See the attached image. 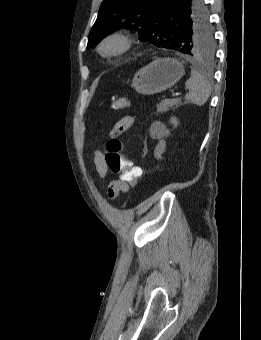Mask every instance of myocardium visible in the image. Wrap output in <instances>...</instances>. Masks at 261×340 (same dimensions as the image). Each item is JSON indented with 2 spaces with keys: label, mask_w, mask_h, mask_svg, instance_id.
<instances>
[{
  "label": "myocardium",
  "mask_w": 261,
  "mask_h": 340,
  "mask_svg": "<svg viewBox=\"0 0 261 340\" xmlns=\"http://www.w3.org/2000/svg\"><path fill=\"white\" fill-rule=\"evenodd\" d=\"M132 45V35L117 30L107 34L100 40L97 45V51L104 58H115L127 52Z\"/></svg>",
  "instance_id": "obj_1"
}]
</instances>
